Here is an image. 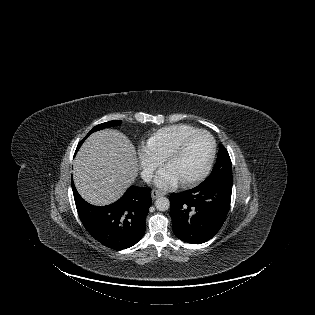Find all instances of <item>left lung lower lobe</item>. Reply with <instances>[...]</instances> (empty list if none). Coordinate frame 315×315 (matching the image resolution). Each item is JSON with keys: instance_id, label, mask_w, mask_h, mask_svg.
I'll list each match as a JSON object with an SVG mask.
<instances>
[{"instance_id": "1", "label": "left lung lower lobe", "mask_w": 315, "mask_h": 315, "mask_svg": "<svg viewBox=\"0 0 315 315\" xmlns=\"http://www.w3.org/2000/svg\"><path fill=\"white\" fill-rule=\"evenodd\" d=\"M232 184L202 182L190 190L172 193L169 197L170 215L175 235L191 244L211 239L228 214Z\"/></svg>"}]
</instances>
